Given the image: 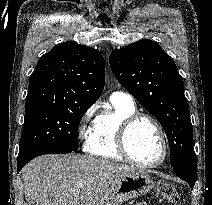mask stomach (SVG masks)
Masks as SVG:
<instances>
[{"label": "stomach", "instance_id": "obj_1", "mask_svg": "<svg viewBox=\"0 0 212 205\" xmlns=\"http://www.w3.org/2000/svg\"><path fill=\"white\" fill-rule=\"evenodd\" d=\"M155 183L145 171L133 170L114 181L96 205H121L123 202L147 194Z\"/></svg>", "mask_w": 212, "mask_h": 205}]
</instances>
